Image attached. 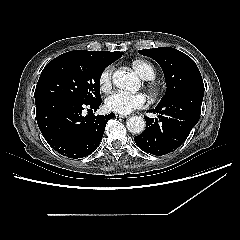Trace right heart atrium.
Masks as SVG:
<instances>
[{
    "mask_svg": "<svg viewBox=\"0 0 240 240\" xmlns=\"http://www.w3.org/2000/svg\"><path fill=\"white\" fill-rule=\"evenodd\" d=\"M114 72V65H107L100 73L98 84L103 92H107L110 90L112 86V77Z\"/></svg>",
    "mask_w": 240,
    "mask_h": 240,
    "instance_id": "right-heart-atrium-1",
    "label": "right heart atrium"
}]
</instances>
